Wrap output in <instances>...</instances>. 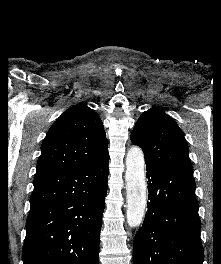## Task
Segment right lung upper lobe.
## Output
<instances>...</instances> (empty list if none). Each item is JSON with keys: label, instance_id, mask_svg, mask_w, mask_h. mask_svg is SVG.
Returning a JSON list of instances; mask_svg holds the SVG:
<instances>
[{"label": "right lung upper lobe", "instance_id": "1", "mask_svg": "<svg viewBox=\"0 0 221 264\" xmlns=\"http://www.w3.org/2000/svg\"><path fill=\"white\" fill-rule=\"evenodd\" d=\"M108 156L100 117L80 103L65 111L49 129L41 146L36 176L90 166Z\"/></svg>", "mask_w": 221, "mask_h": 264}]
</instances>
